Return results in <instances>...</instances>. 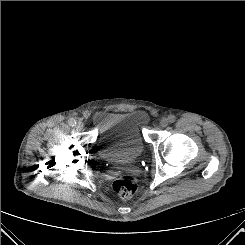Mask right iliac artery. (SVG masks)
I'll return each mask as SVG.
<instances>
[{"instance_id":"obj_1","label":"right iliac artery","mask_w":245,"mask_h":245,"mask_svg":"<svg viewBox=\"0 0 245 245\" xmlns=\"http://www.w3.org/2000/svg\"><path fill=\"white\" fill-rule=\"evenodd\" d=\"M68 124L70 125V126H75L76 125V120L74 119V118H70L69 120H68Z\"/></svg>"}]
</instances>
